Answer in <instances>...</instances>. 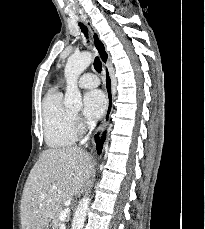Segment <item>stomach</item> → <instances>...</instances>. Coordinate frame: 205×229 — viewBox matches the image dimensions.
Masks as SVG:
<instances>
[{
  "label": "stomach",
  "instance_id": "obj_1",
  "mask_svg": "<svg viewBox=\"0 0 205 229\" xmlns=\"http://www.w3.org/2000/svg\"><path fill=\"white\" fill-rule=\"evenodd\" d=\"M44 229H49V227H48V226H46Z\"/></svg>",
  "mask_w": 205,
  "mask_h": 229
}]
</instances>
